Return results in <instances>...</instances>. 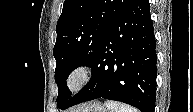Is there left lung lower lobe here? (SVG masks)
<instances>
[{"mask_svg":"<svg viewBox=\"0 0 193 112\" xmlns=\"http://www.w3.org/2000/svg\"><path fill=\"white\" fill-rule=\"evenodd\" d=\"M156 40L149 0H133L103 38L90 63V81L62 106L104 98L154 112Z\"/></svg>","mask_w":193,"mask_h":112,"instance_id":"left-lung-lower-lobe-1","label":"left lung lower lobe"}]
</instances>
